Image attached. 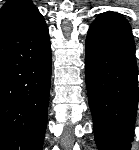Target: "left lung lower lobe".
Listing matches in <instances>:
<instances>
[{
    "instance_id": "1",
    "label": "left lung lower lobe",
    "mask_w": 139,
    "mask_h": 150,
    "mask_svg": "<svg viewBox=\"0 0 139 150\" xmlns=\"http://www.w3.org/2000/svg\"><path fill=\"white\" fill-rule=\"evenodd\" d=\"M85 75L94 134L100 150H130L138 109V68L131 27L106 12L86 39Z\"/></svg>"
}]
</instances>
